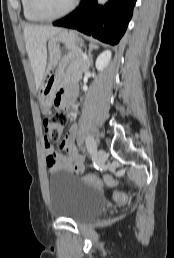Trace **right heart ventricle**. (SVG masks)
Listing matches in <instances>:
<instances>
[{"label": "right heart ventricle", "instance_id": "e07e8e85", "mask_svg": "<svg viewBox=\"0 0 174 258\" xmlns=\"http://www.w3.org/2000/svg\"><path fill=\"white\" fill-rule=\"evenodd\" d=\"M21 7H22L23 15H24V17L27 21H29V22H39V21H41L30 10L29 0H21Z\"/></svg>", "mask_w": 174, "mask_h": 258}]
</instances>
